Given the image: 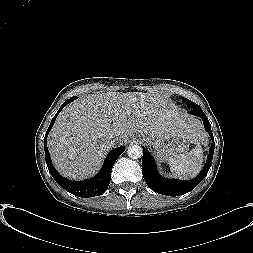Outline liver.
<instances>
[{"label":"liver","instance_id":"6515ba94","mask_svg":"<svg viewBox=\"0 0 253 253\" xmlns=\"http://www.w3.org/2000/svg\"><path fill=\"white\" fill-rule=\"evenodd\" d=\"M160 137L181 135L191 143L206 140L200 120L177 108L158 93L111 92L79 97L58 115L48 136V148L55 168L63 176L82 180L94 175L116 145H123L135 133Z\"/></svg>","mask_w":253,"mask_h":253}]
</instances>
